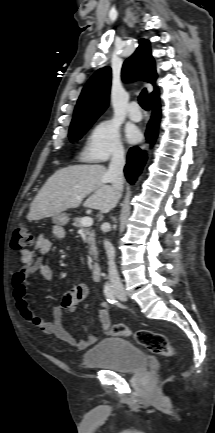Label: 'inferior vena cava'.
Masks as SVG:
<instances>
[{"instance_id": "inferior-vena-cava-1", "label": "inferior vena cava", "mask_w": 215, "mask_h": 433, "mask_svg": "<svg viewBox=\"0 0 215 433\" xmlns=\"http://www.w3.org/2000/svg\"><path fill=\"white\" fill-rule=\"evenodd\" d=\"M125 165L124 150L117 149L111 158L108 171L106 173L107 180L113 184L119 190H122L124 184L123 168ZM110 226L107 225L105 231L107 232ZM104 248L106 250L108 258V271L109 278L112 284V288L115 292L124 291L123 284L120 281L118 271L115 264V251L113 245L104 240Z\"/></svg>"}]
</instances>
